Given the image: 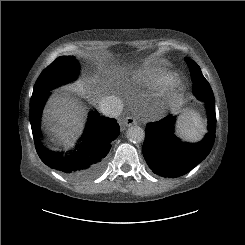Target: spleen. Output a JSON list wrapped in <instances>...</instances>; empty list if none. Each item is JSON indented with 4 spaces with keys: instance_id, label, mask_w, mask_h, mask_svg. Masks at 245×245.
<instances>
[{
    "instance_id": "obj_1",
    "label": "spleen",
    "mask_w": 245,
    "mask_h": 245,
    "mask_svg": "<svg viewBox=\"0 0 245 245\" xmlns=\"http://www.w3.org/2000/svg\"><path fill=\"white\" fill-rule=\"evenodd\" d=\"M178 133L187 141L196 142L205 133V127L200 116L194 111L183 115L178 121Z\"/></svg>"
}]
</instances>
